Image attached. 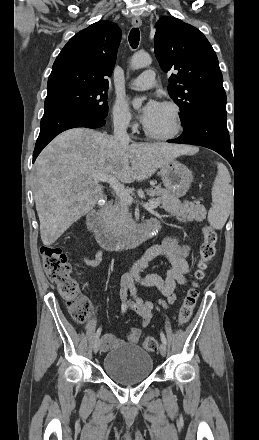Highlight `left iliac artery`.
I'll return each mask as SVG.
<instances>
[{"mask_svg": "<svg viewBox=\"0 0 259 440\" xmlns=\"http://www.w3.org/2000/svg\"><path fill=\"white\" fill-rule=\"evenodd\" d=\"M160 337H161V341L166 345L167 341L163 332L160 333Z\"/></svg>", "mask_w": 259, "mask_h": 440, "instance_id": "obj_1", "label": "left iliac artery"}]
</instances>
